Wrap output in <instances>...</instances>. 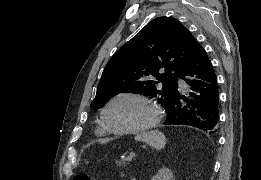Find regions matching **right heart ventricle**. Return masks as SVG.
Returning <instances> with one entry per match:
<instances>
[{"instance_id": "right-heart-ventricle-1", "label": "right heart ventricle", "mask_w": 261, "mask_h": 180, "mask_svg": "<svg viewBox=\"0 0 261 180\" xmlns=\"http://www.w3.org/2000/svg\"><path fill=\"white\" fill-rule=\"evenodd\" d=\"M94 136L100 140L113 139L117 138L116 136L111 135L103 126L102 123L98 124L94 129Z\"/></svg>"}]
</instances>
